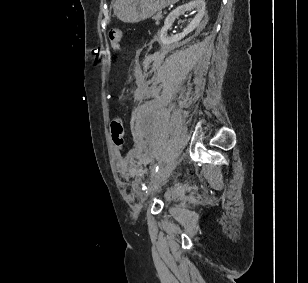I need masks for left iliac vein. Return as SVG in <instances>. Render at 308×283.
<instances>
[{
	"label": "left iliac vein",
	"mask_w": 308,
	"mask_h": 283,
	"mask_svg": "<svg viewBox=\"0 0 308 283\" xmlns=\"http://www.w3.org/2000/svg\"><path fill=\"white\" fill-rule=\"evenodd\" d=\"M175 168L174 163H170L166 165L163 169L160 170V172L155 176V178L152 180L149 189L147 191L146 196H150L156 193V191L163 185V183L169 178L171 173L173 172Z\"/></svg>",
	"instance_id": "left-iliac-vein-1"
}]
</instances>
